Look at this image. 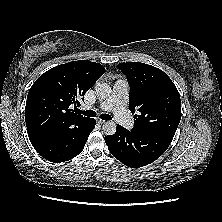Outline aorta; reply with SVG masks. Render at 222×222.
Segmentation results:
<instances>
[{
  "label": "aorta",
  "instance_id": "1",
  "mask_svg": "<svg viewBox=\"0 0 222 222\" xmlns=\"http://www.w3.org/2000/svg\"><path fill=\"white\" fill-rule=\"evenodd\" d=\"M95 93L98 99L104 100L109 97L111 93V87L106 83H97L95 86ZM116 128V123L113 120L106 121L102 126V129L106 135L115 134Z\"/></svg>",
  "mask_w": 222,
  "mask_h": 222
}]
</instances>
